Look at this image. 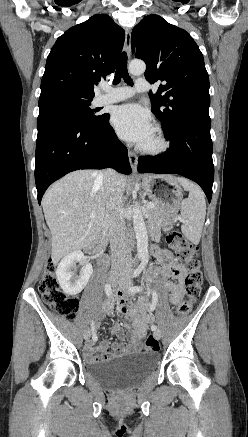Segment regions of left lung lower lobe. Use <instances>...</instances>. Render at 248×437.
<instances>
[{"label": "left lung lower lobe", "mask_w": 248, "mask_h": 437, "mask_svg": "<svg viewBox=\"0 0 248 437\" xmlns=\"http://www.w3.org/2000/svg\"><path fill=\"white\" fill-rule=\"evenodd\" d=\"M210 117H197L181 121L165 138L170 140L167 152L157 156H141L140 173L180 174L198 183L208 201L212 197L214 165Z\"/></svg>", "instance_id": "obj_1"}]
</instances>
